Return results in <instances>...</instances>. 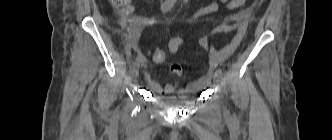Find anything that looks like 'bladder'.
<instances>
[{
    "label": "bladder",
    "mask_w": 332,
    "mask_h": 140,
    "mask_svg": "<svg viewBox=\"0 0 332 140\" xmlns=\"http://www.w3.org/2000/svg\"><path fill=\"white\" fill-rule=\"evenodd\" d=\"M194 100L193 96L185 97L183 99H172L167 101H161L160 104L168 106V107H185L191 104Z\"/></svg>",
    "instance_id": "31cf9c89"
}]
</instances>
